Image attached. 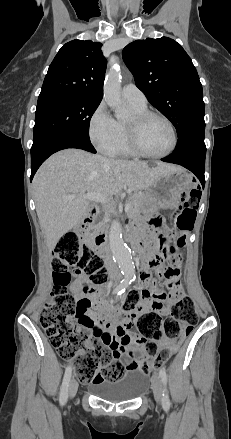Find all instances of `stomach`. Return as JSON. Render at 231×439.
<instances>
[{
    "mask_svg": "<svg viewBox=\"0 0 231 439\" xmlns=\"http://www.w3.org/2000/svg\"><path fill=\"white\" fill-rule=\"evenodd\" d=\"M195 186L193 176L184 169L161 175L143 195L146 209L159 210L174 208L182 193H188Z\"/></svg>",
    "mask_w": 231,
    "mask_h": 439,
    "instance_id": "obj_1",
    "label": "stomach"
}]
</instances>
